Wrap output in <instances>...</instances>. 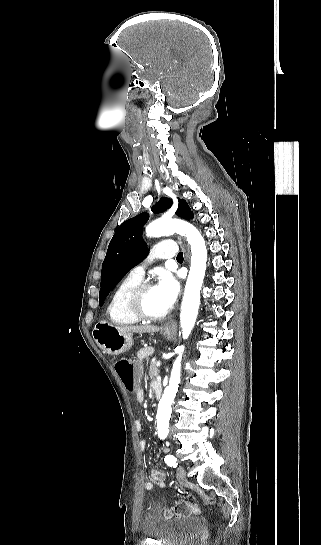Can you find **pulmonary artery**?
Masks as SVG:
<instances>
[{
  "instance_id": "e3ab8cb5",
  "label": "pulmonary artery",
  "mask_w": 321,
  "mask_h": 545,
  "mask_svg": "<svg viewBox=\"0 0 321 545\" xmlns=\"http://www.w3.org/2000/svg\"><path fill=\"white\" fill-rule=\"evenodd\" d=\"M156 252L151 253V258L156 259L157 261H172L174 257L178 255V248L173 245L172 241H157L155 243ZM152 260H146L145 262L134 266L130 271L129 275L137 279H143L144 271L146 266Z\"/></svg>"
}]
</instances>
